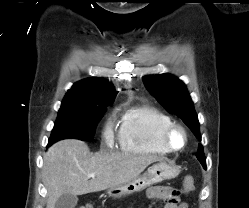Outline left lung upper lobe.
<instances>
[{
    "instance_id": "obj_1",
    "label": "left lung upper lobe",
    "mask_w": 249,
    "mask_h": 208,
    "mask_svg": "<svg viewBox=\"0 0 249 208\" xmlns=\"http://www.w3.org/2000/svg\"><path fill=\"white\" fill-rule=\"evenodd\" d=\"M143 82L158 102L168 112H173L180 117L195 136L201 140L198 117L185 84L170 74L145 76ZM197 158L206 169V159L202 145H199Z\"/></svg>"
}]
</instances>
